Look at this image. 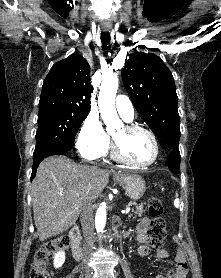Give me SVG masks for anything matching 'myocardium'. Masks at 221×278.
<instances>
[{"mask_svg": "<svg viewBox=\"0 0 221 278\" xmlns=\"http://www.w3.org/2000/svg\"><path fill=\"white\" fill-rule=\"evenodd\" d=\"M124 128L126 129L127 132H130V133L142 131V132H145L146 134H148V136L151 138L152 143H153L154 156H153L152 160L146 164L133 163L123 155L118 143L116 142L115 139H113L112 154H113L114 158L116 160L122 162L123 164H125L129 167L135 168V169H146V168H149L152 165H154L157 162L159 155H160V148H159V143H158L156 135L150 129L140 126V125L130 124V125H126Z\"/></svg>", "mask_w": 221, "mask_h": 278, "instance_id": "obj_1", "label": "myocardium"}]
</instances>
